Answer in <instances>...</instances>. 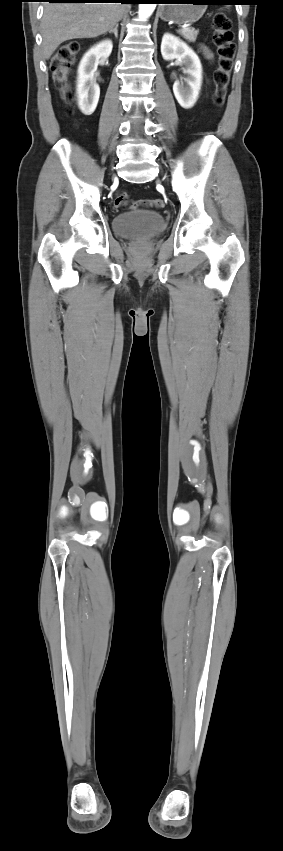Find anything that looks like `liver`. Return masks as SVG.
Returning a JSON list of instances; mask_svg holds the SVG:
<instances>
[{
  "instance_id": "6515ba94",
  "label": "liver",
  "mask_w": 283,
  "mask_h": 851,
  "mask_svg": "<svg viewBox=\"0 0 283 851\" xmlns=\"http://www.w3.org/2000/svg\"><path fill=\"white\" fill-rule=\"evenodd\" d=\"M124 11L119 3H46L41 22L43 57L49 59L67 40L105 34Z\"/></svg>"
}]
</instances>
